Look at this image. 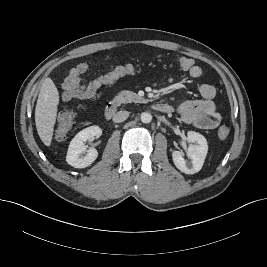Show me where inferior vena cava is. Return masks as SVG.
I'll list each match as a JSON object with an SVG mask.
<instances>
[{
  "instance_id": "1",
  "label": "inferior vena cava",
  "mask_w": 267,
  "mask_h": 267,
  "mask_svg": "<svg viewBox=\"0 0 267 267\" xmlns=\"http://www.w3.org/2000/svg\"><path fill=\"white\" fill-rule=\"evenodd\" d=\"M128 116H129L128 111H119L113 116V121L115 123H120L125 121L128 118Z\"/></svg>"
}]
</instances>
